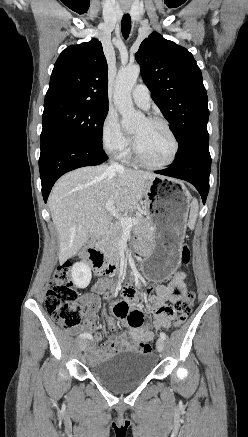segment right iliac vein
<instances>
[{
    "label": "right iliac vein",
    "instance_id": "right-iliac-vein-1",
    "mask_svg": "<svg viewBox=\"0 0 248 437\" xmlns=\"http://www.w3.org/2000/svg\"><path fill=\"white\" fill-rule=\"evenodd\" d=\"M79 349L81 350V351H84L85 349H86V347H87V341L85 340V339H81L80 341H79Z\"/></svg>",
    "mask_w": 248,
    "mask_h": 437
}]
</instances>
